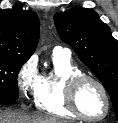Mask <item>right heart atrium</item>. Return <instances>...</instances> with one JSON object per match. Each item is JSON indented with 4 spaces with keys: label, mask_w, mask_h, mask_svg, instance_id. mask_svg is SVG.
I'll return each mask as SVG.
<instances>
[{
    "label": "right heart atrium",
    "mask_w": 118,
    "mask_h": 123,
    "mask_svg": "<svg viewBox=\"0 0 118 123\" xmlns=\"http://www.w3.org/2000/svg\"><path fill=\"white\" fill-rule=\"evenodd\" d=\"M39 78L37 60L31 57L20 66L17 72V86L23 98L29 99L34 97Z\"/></svg>",
    "instance_id": "d8ad5b80"
}]
</instances>
